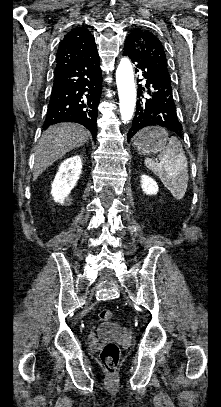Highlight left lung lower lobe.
I'll return each instance as SVG.
<instances>
[{
	"label": "left lung lower lobe",
	"instance_id": "0a47b994",
	"mask_svg": "<svg viewBox=\"0 0 221 407\" xmlns=\"http://www.w3.org/2000/svg\"><path fill=\"white\" fill-rule=\"evenodd\" d=\"M123 55L128 56L135 64V72L142 71V76L146 78L145 88L138 86L137 107L128 139L146 126H161L181 137L182 125L176 114L170 76L158 72L141 59L130 36L125 40ZM146 89L150 95L149 98L142 95Z\"/></svg>",
	"mask_w": 221,
	"mask_h": 407
}]
</instances>
